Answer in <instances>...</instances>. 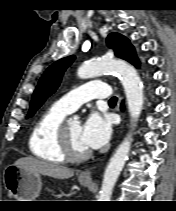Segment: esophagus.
Wrapping results in <instances>:
<instances>
[{
	"mask_svg": "<svg viewBox=\"0 0 176 211\" xmlns=\"http://www.w3.org/2000/svg\"><path fill=\"white\" fill-rule=\"evenodd\" d=\"M80 178L83 180H90L91 179V171L90 169H85L80 173Z\"/></svg>",
	"mask_w": 176,
	"mask_h": 211,
	"instance_id": "1",
	"label": "esophagus"
}]
</instances>
